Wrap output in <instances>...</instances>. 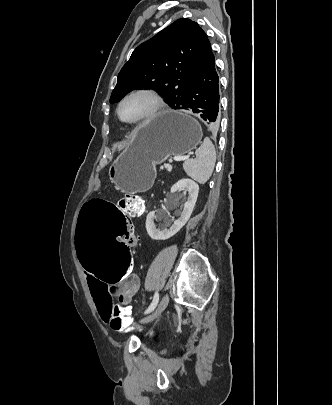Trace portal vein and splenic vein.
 Instances as JSON below:
<instances>
[{"label":"portal vein and splenic vein","instance_id":"obj_1","mask_svg":"<svg viewBox=\"0 0 332 405\" xmlns=\"http://www.w3.org/2000/svg\"><path fill=\"white\" fill-rule=\"evenodd\" d=\"M186 159H188V157H174L173 160H175V161H184ZM170 162H172V160H170Z\"/></svg>","mask_w":332,"mask_h":405}]
</instances>
